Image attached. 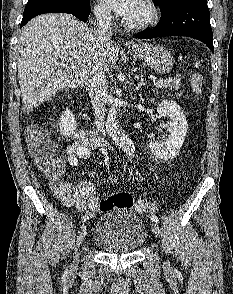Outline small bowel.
Listing matches in <instances>:
<instances>
[{
    "mask_svg": "<svg viewBox=\"0 0 233 294\" xmlns=\"http://www.w3.org/2000/svg\"><path fill=\"white\" fill-rule=\"evenodd\" d=\"M66 153L69 163L76 166L79 159H87L90 156L91 147L76 136L73 142L66 147ZM53 192L66 206L75 208L79 212H87V208H91V201L99 199L94 195V184L89 181H82L77 185L64 180L55 181Z\"/></svg>",
    "mask_w": 233,
    "mask_h": 294,
    "instance_id": "small-bowel-1",
    "label": "small bowel"
}]
</instances>
